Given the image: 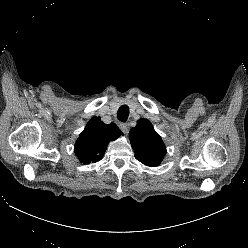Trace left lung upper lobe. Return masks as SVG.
<instances>
[{"mask_svg":"<svg viewBox=\"0 0 248 248\" xmlns=\"http://www.w3.org/2000/svg\"><path fill=\"white\" fill-rule=\"evenodd\" d=\"M129 138L137 160L151 167L161 163L166 147L151 122L138 120L137 125L131 128Z\"/></svg>","mask_w":248,"mask_h":248,"instance_id":"left-lung-upper-lobe-1","label":"left lung upper lobe"}]
</instances>
